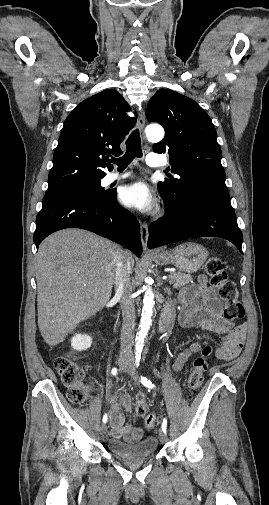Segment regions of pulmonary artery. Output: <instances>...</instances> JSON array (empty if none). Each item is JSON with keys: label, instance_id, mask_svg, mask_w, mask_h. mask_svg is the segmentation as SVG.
<instances>
[{"label": "pulmonary artery", "instance_id": "e3ab8cb5", "mask_svg": "<svg viewBox=\"0 0 269 505\" xmlns=\"http://www.w3.org/2000/svg\"><path fill=\"white\" fill-rule=\"evenodd\" d=\"M147 164L152 167H161L165 166L167 164V161L162 158L161 156L151 153L147 156ZM129 176V173H110L106 181L107 183H113L116 181H121L123 179H126Z\"/></svg>", "mask_w": 269, "mask_h": 505}]
</instances>
